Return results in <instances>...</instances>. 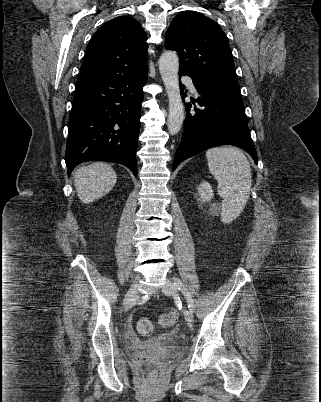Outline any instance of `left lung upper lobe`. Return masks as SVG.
<instances>
[{
  "label": "left lung upper lobe",
  "instance_id": "left-lung-upper-lobe-1",
  "mask_svg": "<svg viewBox=\"0 0 321 402\" xmlns=\"http://www.w3.org/2000/svg\"><path fill=\"white\" fill-rule=\"evenodd\" d=\"M165 45L178 53L179 72L197 80L238 82L227 37L210 18L192 11L177 14Z\"/></svg>",
  "mask_w": 321,
  "mask_h": 402
}]
</instances>
